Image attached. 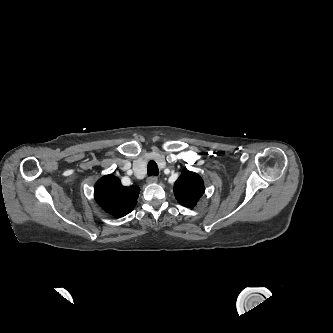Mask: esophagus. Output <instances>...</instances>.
<instances>
[{
	"instance_id": "obj_1",
	"label": "esophagus",
	"mask_w": 333,
	"mask_h": 333,
	"mask_svg": "<svg viewBox=\"0 0 333 333\" xmlns=\"http://www.w3.org/2000/svg\"><path fill=\"white\" fill-rule=\"evenodd\" d=\"M158 181V178L156 176H150L147 178V182L152 184V183H156Z\"/></svg>"
}]
</instances>
